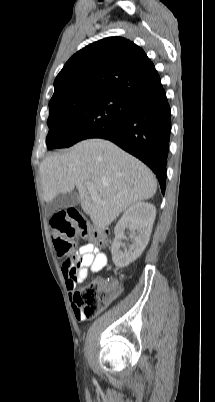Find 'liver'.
<instances>
[{
	"label": "liver",
	"instance_id": "6515ba94",
	"mask_svg": "<svg viewBox=\"0 0 215 402\" xmlns=\"http://www.w3.org/2000/svg\"><path fill=\"white\" fill-rule=\"evenodd\" d=\"M44 200L75 187L83 211L99 229L107 228L127 207L154 196L157 182L141 161L110 141L84 140L68 152L47 157L40 164ZM93 184L97 199L88 192Z\"/></svg>",
	"mask_w": 215,
	"mask_h": 402
}]
</instances>
